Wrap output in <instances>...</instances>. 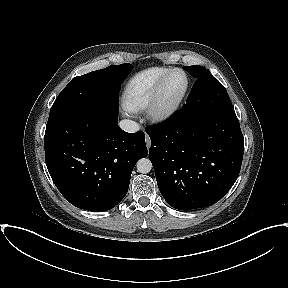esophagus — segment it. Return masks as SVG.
I'll list each match as a JSON object with an SVG mask.
<instances>
[{
  "instance_id": "esophagus-1",
  "label": "esophagus",
  "mask_w": 288,
  "mask_h": 288,
  "mask_svg": "<svg viewBox=\"0 0 288 288\" xmlns=\"http://www.w3.org/2000/svg\"><path fill=\"white\" fill-rule=\"evenodd\" d=\"M146 145H147V148H149L151 145L150 137L147 134H146Z\"/></svg>"
}]
</instances>
